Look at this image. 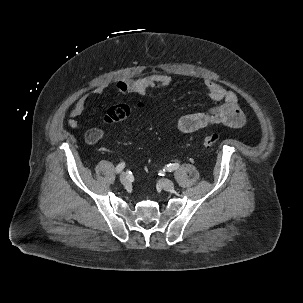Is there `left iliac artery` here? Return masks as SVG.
Returning a JSON list of instances; mask_svg holds the SVG:
<instances>
[{
	"label": "left iliac artery",
	"mask_w": 303,
	"mask_h": 303,
	"mask_svg": "<svg viewBox=\"0 0 303 303\" xmlns=\"http://www.w3.org/2000/svg\"><path fill=\"white\" fill-rule=\"evenodd\" d=\"M178 167H179L178 163H172V164L170 163V164L166 165L164 171L167 170L169 172H172V171L176 170Z\"/></svg>",
	"instance_id": "left-iliac-artery-1"
}]
</instances>
